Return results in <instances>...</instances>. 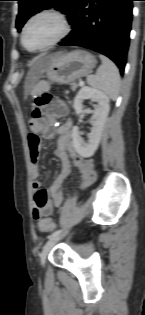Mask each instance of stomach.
<instances>
[{
    "label": "stomach",
    "mask_w": 145,
    "mask_h": 315,
    "mask_svg": "<svg viewBox=\"0 0 145 315\" xmlns=\"http://www.w3.org/2000/svg\"><path fill=\"white\" fill-rule=\"evenodd\" d=\"M96 65L95 57L85 50L60 53L51 59L41 76L53 83L68 84L89 75Z\"/></svg>",
    "instance_id": "1"
}]
</instances>
